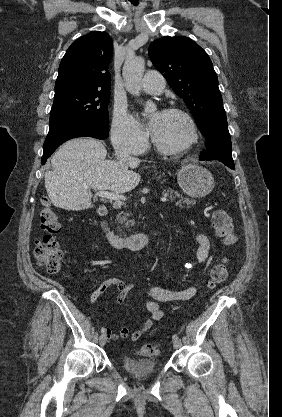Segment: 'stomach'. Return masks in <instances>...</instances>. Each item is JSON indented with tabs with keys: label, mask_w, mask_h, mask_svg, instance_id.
<instances>
[{
	"label": "stomach",
	"mask_w": 282,
	"mask_h": 417,
	"mask_svg": "<svg viewBox=\"0 0 282 417\" xmlns=\"http://www.w3.org/2000/svg\"><path fill=\"white\" fill-rule=\"evenodd\" d=\"M177 180L182 190L189 196H193V198L206 196L215 186L213 174H211L210 170L197 166V164L182 166L178 170Z\"/></svg>",
	"instance_id": "1"
}]
</instances>
